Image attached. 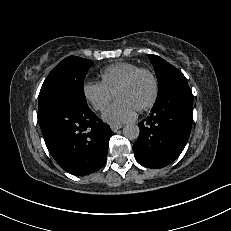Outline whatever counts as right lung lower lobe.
Here are the masks:
<instances>
[{"label": "right lung lower lobe", "instance_id": "1", "mask_svg": "<svg viewBox=\"0 0 231 231\" xmlns=\"http://www.w3.org/2000/svg\"><path fill=\"white\" fill-rule=\"evenodd\" d=\"M48 150L67 172L82 176L101 169L113 134L87 104L63 99L38 111Z\"/></svg>", "mask_w": 231, "mask_h": 231}]
</instances>
